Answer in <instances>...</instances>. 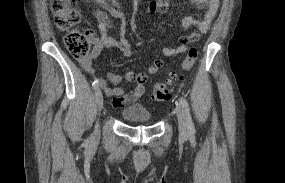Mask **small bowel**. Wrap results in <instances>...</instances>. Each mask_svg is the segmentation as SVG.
Segmentation results:
<instances>
[{
  "instance_id": "c3829d8e",
  "label": "small bowel",
  "mask_w": 285,
  "mask_h": 183,
  "mask_svg": "<svg viewBox=\"0 0 285 183\" xmlns=\"http://www.w3.org/2000/svg\"><path fill=\"white\" fill-rule=\"evenodd\" d=\"M195 6L204 8L205 14L202 18H196L193 15H187L181 20V28L189 31L191 28L196 30L184 36L179 37L178 47L165 46L162 53L166 57H175L188 50L190 44L196 43L200 38V33L208 31L212 20L214 19L219 8L220 0H190ZM97 8L93 10V15L98 23L100 31V41L94 46L90 56L81 61L82 68L90 75H94L93 61L99 57L104 50H118L124 56L131 57L139 52L132 43L125 38V21L124 12L119 0H95ZM168 0H152L147 8L149 14H162L168 9ZM112 18L121 21L120 27H117ZM117 30L118 37L110 35V31ZM162 59H155L147 68L146 72L128 71L124 77L109 72L106 79L98 78V83L103 92L109 97V103L114 107H123L134 103L145 93V84L149 75H154L163 67ZM123 78L134 84V89L126 91L121 86ZM111 84V85H109Z\"/></svg>"
}]
</instances>
